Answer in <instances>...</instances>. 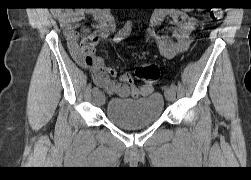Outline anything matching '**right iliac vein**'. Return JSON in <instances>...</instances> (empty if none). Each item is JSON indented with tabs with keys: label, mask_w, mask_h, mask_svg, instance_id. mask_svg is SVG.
<instances>
[{
	"label": "right iliac vein",
	"mask_w": 251,
	"mask_h": 180,
	"mask_svg": "<svg viewBox=\"0 0 251 180\" xmlns=\"http://www.w3.org/2000/svg\"><path fill=\"white\" fill-rule=\"evenodd\" d=\"M104 101L105 98L102 92H98L97 94L94 95V102L96 105L101 106L103 105Z\"/></svg>",
	"instance_id": "right-iliac-vein-1"
}]
</instances>
